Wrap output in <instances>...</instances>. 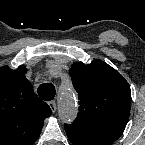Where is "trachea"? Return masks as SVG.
Listing matches in <instances>:
<instances>
[{
	"label": "trachea",
	"mask_w": 145,
	"mask_h": 145,
	"mask_svg": "<svg viewBox=\"0 0 145 145\" xmlns=\"http://www.w3.org/2000/svg\"><path fill=\"white\" fill-rule=\"evenodd\" d=\"M39 96L45 100L50 101L55 97V87L51 83H44L38 87Z\"/></svg>",
	"instance_id": "obj_1"
}]
</instances>
